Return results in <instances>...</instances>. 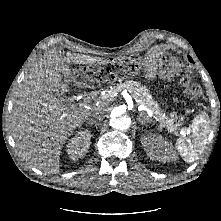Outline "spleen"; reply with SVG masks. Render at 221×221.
Returning a JSON list of instances; mask_svg holds the SVG:
<instances>
[{
  "mask_svg": "<svg viewBox=\"0 0 221 221\" xmlns=\"http://www.w3.org/2000/svg\"><path fill=\"white\" fill-rule=\"evenodd\" d=\"M209 124L208 115L201 113L193 119L188 135L177 140L176 148L187 163L194 162L202 154L210 131Z\"/></svg>",
  "mask_w": 221,
  "mask_h": 221,
  "instance_id": "3e777b00",
  "label": "spleen"
}]
</instances>
